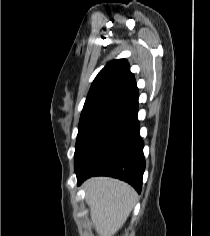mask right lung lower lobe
<instances>
[{
	"label": "right lung lower lobe",
	"instance_id": "1",
	"mask_svg": "<svg viewBox=\"0 0 210 236\" xmlns=\"http://www.w3.org/2000/svg\"><path fill=\"white\" fill-rule=\"evenodd\" d=\"M137 113L138 90L88 135L74 155L78 185L91 176L105 175L141 192L145 160Z\"/></svg>",
	"mask_w": 210,
	"mask_h": 236
}]
</instances>
